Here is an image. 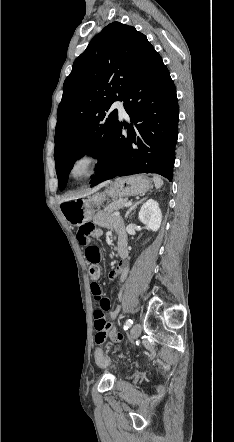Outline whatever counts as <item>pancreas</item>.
Listing matches in <instances>:
<instances>
[{
  "mask_svg": "<svg viewBox=\"0 0 234 442\" xmlns=\"http://www.w3.org/2000/svg\"><path fill=\"white\" fill-rule=\"evenodd\" d=\"M127 202V199H119V200H113L109 205L104 207L103 212L107 214H111L115 211H118L119 209L124 207V204Z\"/></svg>",
  "mask_w": 234,
  "mask_h": 442,
  "instance_id": "obj_1",
  "label": "pancreas"
}]
</instances>
